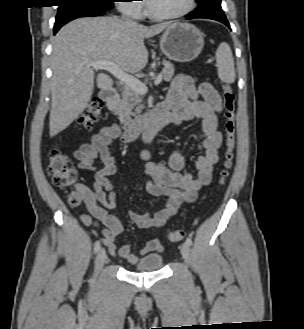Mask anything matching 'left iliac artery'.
<instances>
[{
    "label": "left iliac artery",
    "instance_id": "left-iliac-artery-1",
    "mask_svg": "<svg viewBox=\"0 0 304 329\" xmlns=\"http://www.w3.org/2000/svg\"><path fill=\"white\" fill-rule=\"evenodd\" d=\"M186 243H187L189 246H191V245H192V240H191V238L187 237V238H186Z\"/></svg>",
    "mask_w": 304,
    "mask_h": 329
}]
</instances>
